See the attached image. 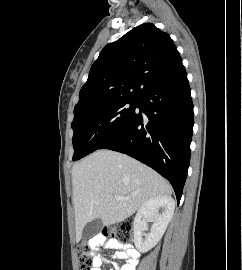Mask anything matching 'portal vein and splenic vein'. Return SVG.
<instances>
[{"label":"portal vein and splenic vein","mask_w":242,"mask_h":270,"mask_svg":"<svg viewBox=\"0 0 242 270\" xmlns=\"http://www.w3.org/2000/svg\"><path fill=\"white\" fill-rule=\"evenodd\" d=\"M114 198H115L116 200H126L125 197H122V196H120V195H115Z\"/></svg>","instance_id":"obj_1"}]
</instances>
